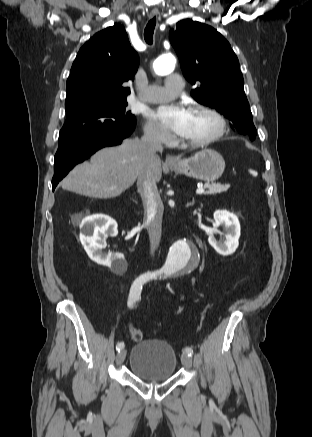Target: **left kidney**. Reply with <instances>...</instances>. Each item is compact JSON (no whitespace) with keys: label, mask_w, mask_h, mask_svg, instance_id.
Instances as JSON below:
<instances>
[{"label":"left kidney","mask_w":312,"mask_h":437,"mask_svg":"<svg viewBox=\"0 0 312 437\" xmlns=\"http://www.w3.org/2000/svg\"><path fill=\"white\" fill-rule=\"evenodd\" d=\"M219 226L224 229L223 239L217 241L214 235H210L208 242L220 255H231L239 245L241 228L238 217L227 210H217L214 212V230L217 231Z\"/></svg>","instance_id":"obj_1"}]
</instances>
